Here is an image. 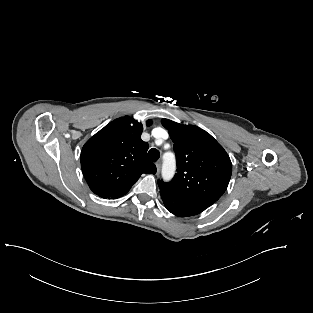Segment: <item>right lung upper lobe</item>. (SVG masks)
Wrapping results in <instances>:
<instances>
[{"mask_svg": "<svg viewBox=\"0 0 313 313\" xmlns=\"http://www.w3.org/2000/svg\"><path fill=\"white\" fill-rule=\"evenodd\" d=\"M152 124L151 120L147 125ZM143 126L129 116L118 118L83 146L81 168L90 189L102 198L127 193L141 174H155L147 160L148 143L141 140Z\"/></svg>", "mask_w": 313, "mask_h": 313, "instance_id": "cb5924a9", "label": "right lung upper lobe"}]
</instances>
